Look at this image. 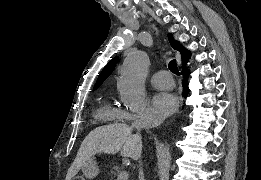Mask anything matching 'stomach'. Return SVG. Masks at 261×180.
I'll list each match as a JSON object with an SVG mask.
<instances>
[{
  "instance_id": "stomach-1",
  "label": "stomach",
  "mask_w": 261,
  "mask_h": 180,
  "mask_svg": "<svg viewBox=\"0 0 261 180\" xmlns=\"http://www.w3.org/2000/svg\"><path fill=\"white\" fill-rule=\"evenodd\" d=\"M83 174L88 179H94L98 173L99 169L94 158H89L86 163L82 166Z\"/></svg>"
}]
</instances>
